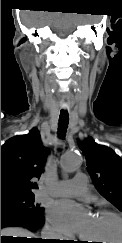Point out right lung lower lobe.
<instances>
[{
	"label": "right lung lower lobe",
	"mask_w": 122,
	"mask_h": 243,
	"mask_svg": "<svg viewBox=\"0 0 122 243\" xmlns=\"http://www.w3.org/2000/svg\"><path fill=\"white\" fill-rule=\"evenodd\" d=\"M43 214H35L30 211L12 207H1V228L8 226H20L35 231L44 224ZM3 240V239H2ZM4 241V240H3ZM2 241V242H3ZM19 243H55L41 239H17Z\"/></svg>",
	"instance_id": "right-lung-lower-lobe-1"
}]
</instances>
